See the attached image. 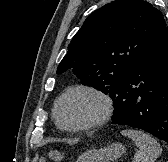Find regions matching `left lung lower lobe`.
<instances>
[{"label": "left lung lower lobe", "mask_w": 168, "mask_h": 162, "mask_svg": "<svg viewBox=\"0 0 168 162\" xmlns=\"http://www.w3.org/2000/svg\"><path fill=\"white\" fill-rule=\"evenodd\" d=\"M113 124L142 129L168 142V27L121 81L113 96Z\"/></svg>", "instance_id": "left-lung-lower-lobe-1"}]
</instances>
